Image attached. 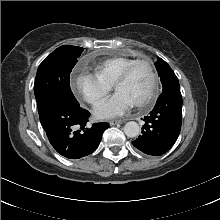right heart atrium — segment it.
Returning a JSON list of instances; mask_svg holds the SVG:
<instances>
[{
  "instance_id": "1",
  "label": "right heart atrium",
  "mask_w": 220,
  "mask_h": 220,
  "mask_svg": "<svg viewBox=\"0 0 220 220\" xmlns=\"http://www.w3.org/2000/svg\"><path fill=\"white\" fill-rule=\"evenodd\" d=\"M73 93L90 105H97L110 91V85L99 77L86 72H81L71 80Z\"/></svg>"
}]
</instances>
